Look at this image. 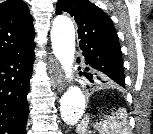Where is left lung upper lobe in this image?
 Masks as SVG:
<instances>
[{
	"mask_svg": "<svg viewBox=\"0 0 153 134\" xmlns=\"http://www.w3.org/2000/svg\"><path fill=\"white\" fill-rule=\"evenodd\" d=\"M67 12L78 25L80 48L88 66L105 76V84L125 87L122 53L110 17L88 0H59L56 14Z\"/></svg>",
	"mask_w": 153,
	"mask_h": 134,
	"instance_id": "left-lung-upper-lobe-1",
	"label": "left lung upper lobe"
}]
</instances>
